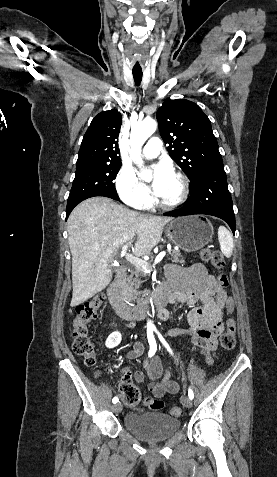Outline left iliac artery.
Returning <instances> with one entry per match:
<instances>
[{
  "mask_svg": "<svg viewBox=\"0 0 277 477\" xmlns=\"http://www.w3.org/2000/svg\"><path fill=\"white\" fill-rule=\"evenodd\" d=\"M157 334H158V337L160 339V341L162 342V344L167 348V350L172 354V350L171 348L169 347V345L167 344V342L165 341V339L163 338V336L156 330ZM188 396L190 399H193L194 398V393L191 389L188 390Z\"/></svg>",
  "mask_w": 277,
  "mask_h": 477,
  "instance_id": "1",
  "label": "left iliac artery"
}]
</instances>
